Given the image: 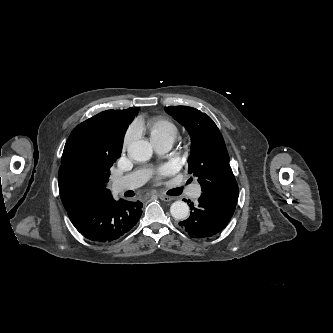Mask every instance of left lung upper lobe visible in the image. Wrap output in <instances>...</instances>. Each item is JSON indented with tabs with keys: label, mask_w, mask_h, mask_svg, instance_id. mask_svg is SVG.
<instances>
[{
	"label": "left lung upper lobe",
	"mask_w": 333,
	"mask_h": 333,
	"mask_svg": "<svg viewBox=\"0 0 333 333\" xmlns=\"http://www.w3.org/2000/svg\"><path fill=\"white\" fill-rule=\"evenodd\" d=\"M191 136L188 173L198 178L202 192L218 199H238V185L229 165L224 139L205 113L188 106L165 107Z\"/></svg>",
	"instance_id": "obj_1"
}]
</instances>
